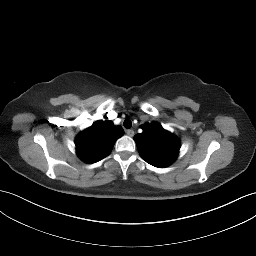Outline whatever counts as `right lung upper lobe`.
I'll list each match as a JSON object with an SVG mask.
<instances>
[{
  "label": "right lung upper lobe",
  "mask_w": 256,
  "mask_h": 256,
  "mask_svg": "<svg viewBox=\"0 0 256 256\" xmlns=\"http://www.w3.org/2000/svg\"><path fill=\"white\" fill-rule=\"evenodd\" d=\"M123 135V129L109 120H99L80 132L75 139L79 158L86 163H95L108 156L115 141Z\"/></svg>",
  "instance_id": "cb5924a9"
}]
</instances>
